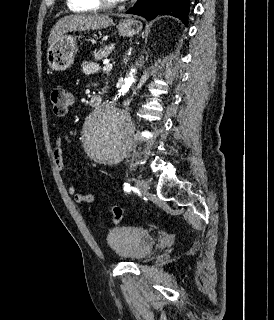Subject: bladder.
Wrapping results in <instances>:
<instances>
[{"label": "bladder", "instance_id": "1", "mask_svg": "<svg viewBox=\"0 0 274 320\" xmlns=\"http://www.w3.org/2000/svg\"><path fill=\"white\" fill-rule=\"evenodd\" d=\"M105 240L112 253L125 261L144 260L151 254L153 248L151 233L134 226L113 227Z\"/></svg>", "mask_w": 274, "mask_h": 320}]
</instances>
